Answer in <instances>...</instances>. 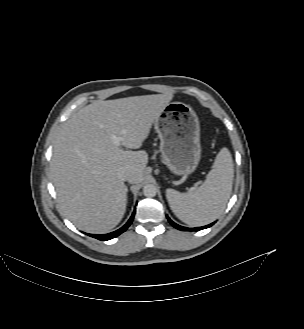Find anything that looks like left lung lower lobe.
<instances>
[{
  "instance_id": "obj_1",
  "label": "left lung lower lobe",
  "mask_w": 304,
  "mask_h": 329,
  "mask_svg": "<svg viewBox=\"0 0 304 329\" xmlns=\"http://www.w3.org/2000/svg\"><path fill=\"white\" fill-rule=\"evenodd\" d=\"M167 218H168V221L170 222V224L172 226H174L176 229L182 230V231H199V230L208 228V227H210V226H212L214 224V223H211V224H209L207 226H203V227L187 228V227H183V226H180V225L174 223L168 216H167Z\"/></svg>"
}]
</instances>
